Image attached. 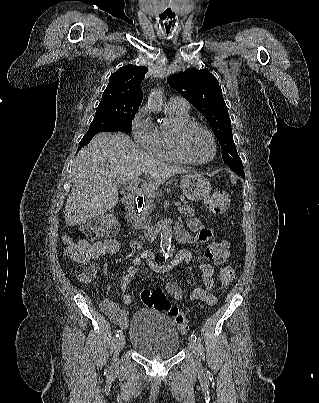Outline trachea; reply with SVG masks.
<instances>
[{"label":"trachea","instance_id":"3493384b","mask_svg":"<svg viewBox=\"0 0 319 403\" xmlns=\"http://www.w3.org/2000/svg\"><path fill=\"white\" fill-rule=\"evenodd\" d=\"M170 27H171V24H169V26H168V27H166V30H169V29H170Z\"/></svg>","mask_w":319,"mask_h":403}]
</instances>
